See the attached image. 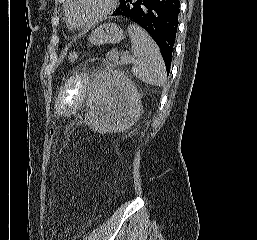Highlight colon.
I'll list each match as a JSON object with an SVG mask.
<instances>
[{"label": "colon", "instance_id": "1", "mask_svg": "<svg viewBox=\"0 0 257 240\" xmlns=\"http://www.w3.org/2000/svg\"><path fill=\"white\" fill-rule=\"evenodd\" d=\"M77 59H78V54H77V52L71 51V52L68 53V60H69V62L74 63V62L77 61ZM53 137H54V133H53V129H51V131H50V137H49L50 145L53 144Z\"/></svg>", "mask_w": 257, "mask_h": 240}]
</instances>
